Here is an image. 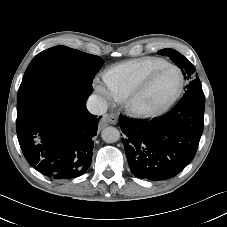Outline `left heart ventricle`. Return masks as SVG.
<instances>
[{
	"label": "left heart ventricle",
	"instance_id": "obj_1",
	"mask_svg": "<svg viewBox=\"0 0 227 227\" xmlns=\"http://www.w3.org/2000/svg\"><path fill=\"white\" fill-rule=\"evenodd\" d=\"M179 85V74L175 69L160 73L148 90L138 99L137 105L142 108H155L168 100Z\"/></svg>",
	"mask_w": 227,
	"mask_h": 227
}]
</instances>
